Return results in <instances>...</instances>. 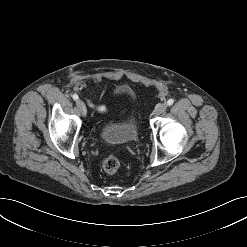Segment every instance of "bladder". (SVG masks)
Listing matches in <instances>:
<instances>
[{"mask_svg":"<svg viewBox=\"0 0 247 247\" xmlns=\"http://www.w3.org/2000/svg\"><path fill=\"white\" fill-rule=\"evenodd\" d=\"M137 118L131 113L121 122L105 124L101 129V137L105 142L112 144H127L138 137Z\"/></svg>","mask_w":247,"mask_h":247,"instance_id":"1","label":"bladder"}]
</instances>
